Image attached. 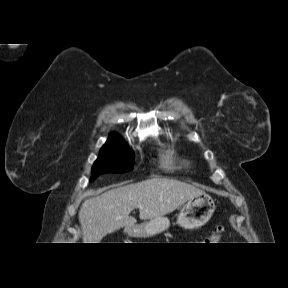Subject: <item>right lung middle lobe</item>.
Returning <instances> with one entry per match:
<instances>
[{"mask_svg":"<svg viewBox=\"0 0 288 288\" xmlns=\"http://www.w3.org/2000/svg\"><path fill=\"white\" fill-rule=\"evenodd\" d=\"M133 164V151L129 150L123 140L107 141L101 148L98 159L94 162L90 181L106 172H128L133 169Z\"/></svg>","mask_w":288,"mask_h":288,"instance_id":"right-lung-middle-lobe-1","label":"right lung middle lobe"}]
</instances>
